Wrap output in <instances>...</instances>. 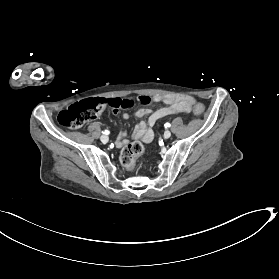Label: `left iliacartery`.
Returning <instances> with one entry per match:
<instances>
[{"label": "left iliac artery", "instance_id": "left-iliac-artery-1", "mask_svg": "<svg viewBox=\"0 0 279 279\" xmlns=\"http://www.w3.org/2000/svg\"><path fill=\"white\" fill-rule=\"evenodd\" d=\"M165 128H168V127H170V123H165Z\"/></svg>", "mask_w": 279, "mask_h": 279}]
</instances>
